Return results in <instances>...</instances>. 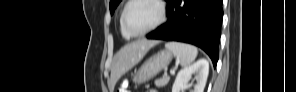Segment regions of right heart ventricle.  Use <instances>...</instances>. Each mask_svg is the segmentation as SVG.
Instances as JSON below:
<instances>
[{
    "label": "right heart ventricle",
    "mask_w": 296,
    "mask_h": 92,
    "mask_svg": "<svg viewBox=\"0 0 296 92\" xmlns=\"http://www.w3.org/2000/svg\"><path fill=\"white\" fill-rule=\"evenodd\" d=\"M119 23H120V30H121L122 36H123L125 39H130L132 36H130V35L124 30V28H123V26H122V23H121V16H120Z\"/></svg>",
    "instance_id": "e07e8e85"
}]
</instances>
